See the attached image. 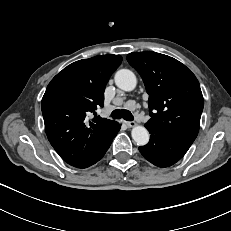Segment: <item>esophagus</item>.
<instances>
[{
	"label": "esophagus",
	"mask_w": 231,
	"mask_h": 231,
	"mask_svg": "<svg viewBox=\"0 0 231 231\" xmlns=\"http://www.w3.org/2000/svg\"><path fill=\"white\" fill-rule=\"evenodd\" d=\"M125 124H126L128 127H134V126H136V122H134V121H125Z\"/></svg>",
	"instance_id": "34e87169"
}]
</instances>
